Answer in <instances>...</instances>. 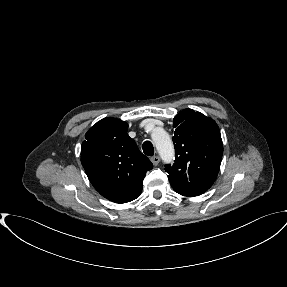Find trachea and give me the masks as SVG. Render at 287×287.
<instances>
[{
    "label": "trachea",
    "instance_id": "obj_1",
    "mask_svg": "<svg viewBox=\"0 0 287 287\" xmlns=\"http://www.w3.org/2000/svg\"><path fill=\"white\" fill-rule=\"evenodd\" d=\"M143 152L147 156H153L154 155V148L150 141H145L142 145Z\"/></svg>",
    "mask_w": 287,
    "mask_h": 287
}]
</instances>
